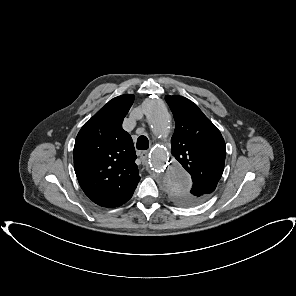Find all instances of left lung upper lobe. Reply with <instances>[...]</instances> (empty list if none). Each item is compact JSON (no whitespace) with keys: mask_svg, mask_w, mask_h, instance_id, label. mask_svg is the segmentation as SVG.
I'll use <instances>...</instances> for the list:
<instances>
[{"mask_svg":"<svg viewBox=\"0 0 296 296\" xmlns=\"http://www.w3.org/2000/svg\"><path fill=\"white\" fill-rule=\"evenodd\" d=\"M165 100L176 123L172 155L193 181L190 190L171 192V198L178 205L194 206L215 190L224 170L226 145L217 127L192 101L176 95H167Z\"/></svg>","mask_w":296,"mask_h":296,"instance_id":"1","label":"left lung upper lobe"}]
</instances>
